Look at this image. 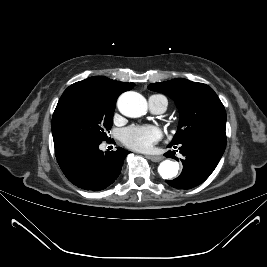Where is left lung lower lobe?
I'll return each instance as SVG.
<instances>
[{
	"instance_id": "left-lung-lower-lobe-1",
	"label": "left lung lower lobe",
	"mask_w": 267,
	"mask_h": 267,
	"mask_svg": "<svg viewBox=\"0 0 267 267\" xmlns=\"http://www.w3.org/2000/svg\"><path fill=\"white\" fill-rule=\"evenodd\" d=\"M176 148V145L168 147ZM226 147V139L205 136L194 138L179 144L183 171L178 178L166 180V182L177 189H190L203 183L214 171ZM175 151H168L164 155L174 158Z\"/></svg>"
}]
</instances>
